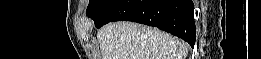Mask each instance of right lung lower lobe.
Segmentation results:
<instances>
[{"label": "right lung lower lobe", "mask_w": 261, "mask_h": 59, "mask_svg": "<svg viewBox=\"0 0 261 59\" xmlns=\"http://www.w3.org/2000/svg\"><path fill=\"white\" fill-rule=\"evenodd\" d=\"M91 18L97 28L112 21H134L178 36L191 47L195 44L196 27L191 0H116Z\"/></svg>", "instance_id": "98d812e1"}]
</instances>
